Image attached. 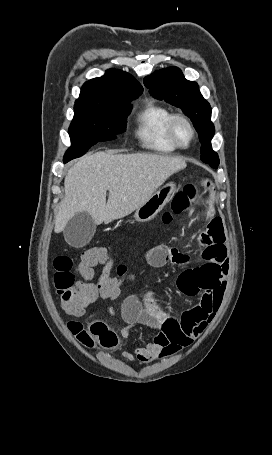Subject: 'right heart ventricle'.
Returning <instances> with one entry per match:
<instances>
[{
    "mask_svg": "<svg viewBox=\"0 0 272 455\" xmlns=\"http://www.w3.org/2000/svg\"><path fill=\"white\" fill-rule=\"evenodd\" d=\"M173 113L165 106L147 100L135 116V137L140 145L152 152L170 154L176 147L170 142L166 126Z\"/></svg>",
    "mask_w": 272,
    "mask_h": 455,
    "instance_id": "right-heart-ventricle-1",
    "label": "right heart ventricle"
}]
</instances>
